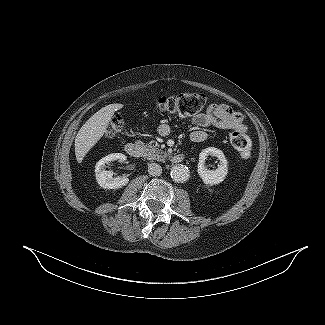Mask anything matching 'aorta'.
Here are the masks:
<instances>
[{"mask_svg": "<svg viewBox=\"0 0 325 325\" xmlns=\"http://www.w3.org/2000/svg\"><path fill=\"white\" fill-rule=\"evenodd\" d=\"M170 175L175 182L183 183L188 180L189 171L184 165L178 164L172 167Z\"/></svg>", "mask_w": 325, "mask_h": 325, "instance_id": "1", "label": "aorta"}]
</instances>
